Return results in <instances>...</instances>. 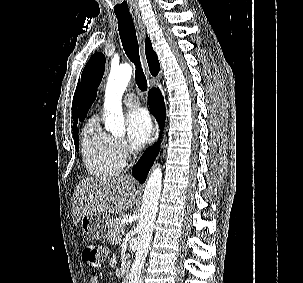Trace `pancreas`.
I'll list each match as a JSON object with an SVG mask.
<instances>
[{
    "mask_svg": "<svg viewBox=\"0 0 303 283\" xmlns=\"http://www.w3.org/2000/svg\"><path fill=\"white\" fill-rule=\"evenodd\" d=\"M122 229H124V226L120 223V221L114 220L110 234L108 236L110 243L114 244V243H118L120 241Z\"/></svg>",
    "mask_w": 303,
    "mask_h": 283,
    "instance_id": "cf45deb5",
    "label": "pancreas"
}]
</instances>
